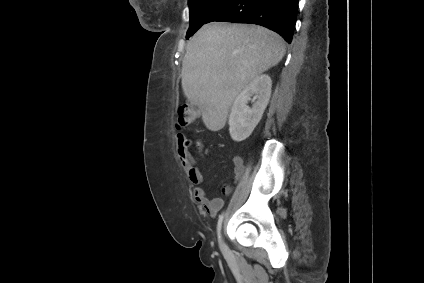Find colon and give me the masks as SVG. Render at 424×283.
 <instances>
[{"label": "colon", "mask_w": 424, "mask_h": 283, "mask_svg": "<svg viewBox=\"0 0 424 283\" xmlns=\"http://www.w3.org/2000/svg\"><path fill=\"white\" fill-rule=\"evenodd\" d=\"M195 116L196 110L192 105L184 104L180 106L176 118V128H185L194 120Z\"/></svg>", "instance_id": "colon-1"}]
</instances>
